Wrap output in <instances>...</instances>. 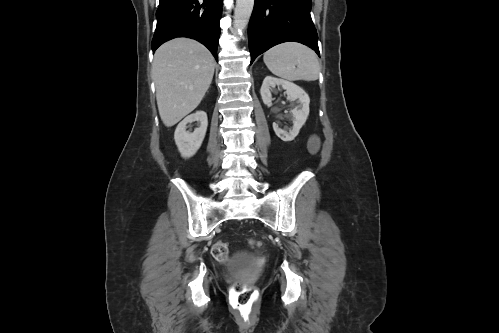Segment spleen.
I'll list each match as a JSON object with an SVG mask.
<instances>
[{
  "instance_id": "obj_1",
  "label": "spleen",
  "mask_w": 499,
  "mask_h": 333,
  "mask_svg": "<svg viewBox=\"0 0 499 333\" xmlns=\"http://www.w3.org/2000/svg\"><path fill=\"white\" fill-rule=\"evenodd\" d=\"M263 61L276 76L290 81H315L320 65L314 51L295 42L282 43L264 53Z\"/></svg>"
}]
</instances>
